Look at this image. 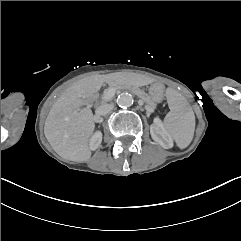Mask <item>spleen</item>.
Here are the masks:
<instances>
[{
    "label": "spleen",
    "mask_w": 241,
    "mask_h": 241,
    "mask_svg": "<svg viewBox=\"0 0 241 241\" xmlns=\"http://www.w3.org/2000/svg\"><path fill=\"white\" fill-rule=\"evenodd\" d=\"M170 112L164 119V126L180 149L192 141L195 131V116L188 101L173 87L166 89Z\"/></svg>",
    "instance_id": "1"
}]
</instances>
